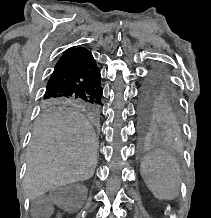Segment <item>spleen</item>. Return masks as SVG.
Listing matches in <instances>:
<instances>
[{
    "instance_id": "obj_1",
    "label": "spleen",
    "mask_w": 211,
    "mask_h": 218,
    "mask_svg": "<svg viewBox=\"0 0 211 218\" xmlns=\"http://www.w3.org/2000/svg\"><path fill=\"white\" fill-rule=\"evenodd\" d=\"M140 174L157 200H175L180 192V172L167 152L155 150L144 156Z\"/></svg>"
}]
</instances>
